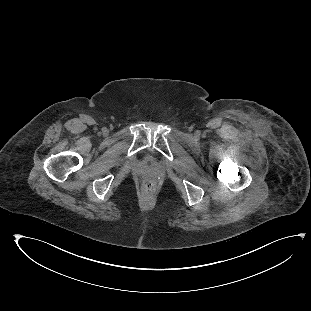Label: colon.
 <instances>
[{
	"label": "colon",
	"mask_w": 311,
	"mask_h": 311,
	"mask_svg": "<svg viewBox=\"0 0 311 311\" xmlns=\"http://www.w3.org/2000/svg\"><path fill=\"white\" fill-rule=\"evenodd\" d=\"M142 188L145 193L151 194L156 191L157 185L154 180L148 179L143 182Z\"/></svg>",
	"instance_id": "obj_1"
}]
</instances>
